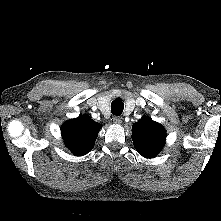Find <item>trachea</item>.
<instances>
[{
	"instance_id": "obj_1",
	"label": "trachea",
	"mask_w": 221,
	"mask_h": 221,
	"mask_svg": "<svg viewBox=\"0 0 221 221\" xmlns=\"http://www.w3.org/2000/svg\"><path fill=\"white\" fill-rule=\"evenodd\" d=\"M124 109V103L117 98L111 103V111L113 115L120 116Z\"/></svg>"
}]
</instances>
